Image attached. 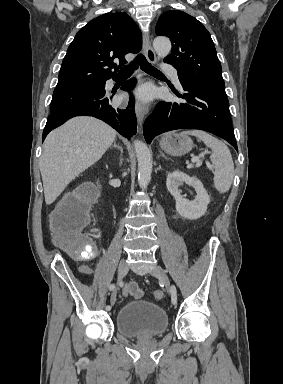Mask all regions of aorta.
<instances>
[{"mask_svg":"<svg viewBox=\"0 0 283 384\" xmlns=\"http://www.w3.org/2000/svg\"><path fill=\"white\" fill-rule=\"evenodd\" d=\"M156 54L164 58L171 51V42L166 37H157L153 42ZM138 161V182L142 189H145L151 180L152 156L145 143L139 140L133 142Z\"/></svg>","mask_w":283,"mask_h":384,"instance_id":"762f6f07","label":"aorta"}]
</instances>
